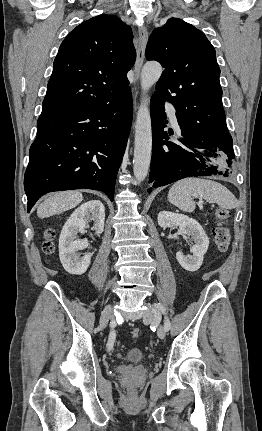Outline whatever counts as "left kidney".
<instances>
[{"instance_id": "5707ae66", "label": "left kidney", "mask_w": 262, "mask_h": 431, "mask_svg": "<svg viewBox=\"0 0 262 431\" xmlns=\"http://www.w3.org/2000/svg\"><path fill=\"white\" fill-rule=\"evenodd\" d=\"M158 224L162 228L178 226L182 234L189 235L194 241L192 256L176 253L179 264L187 271H197L203 263L204 254L209 247V239L202 226L193 218L183 214L162 211L158 214Z\"/></svg>"}]
</instances>
